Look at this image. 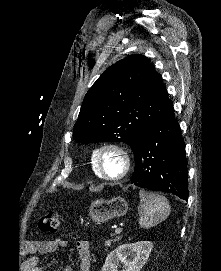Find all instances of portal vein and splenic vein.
<instances>
[{
	"label": "portal vein and splenic vein",
	"mask_w": 221,
	"mask_h": 271,
	"mask_svg": "<svg viewBox=\"0 0 221 271\" xmlns=\"http://www.w3.org/2000/svg\"><path fill=\"white\" fill-rule=\"evenodd\" d=\"M122 229H123V227H116V229L114 231L115 235H116V233H121Z\"/></svg>",
	"instance_id": "18ae733b"
}]
</instances>
